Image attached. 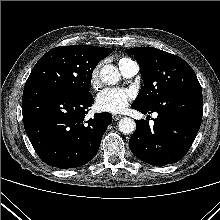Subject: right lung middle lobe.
Segmentation results:
<instances>
[{"mask_svg": "<svg viewBox=\"0 0 220 220\" xmlns=\"http://www.w3.org/2000/svg\"><path fill=\"white\" fill-rule=\"evenodd\" d=\"M101 60L81 45L53 48L35 64L24 88L49 87L76 95L89 94L93 70Z\"/></svg>", "mask_w": 220, "mask_h": 220, "instance_id": "1", "label": "right lung middle lobe"}]
</instances>
